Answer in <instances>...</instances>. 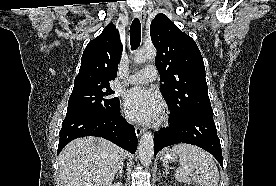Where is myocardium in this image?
<instances>
[{
	"label": "myocardium",
	"instance_id": "f54148a6",
	"mask_svg": "<svg viewBox=\"0 0 276 186\" xmlns=\"http://www.w3.org/2000/svg\"><path fill=\"white\" fill-rule=\"evenodd\" d=\"M168 121V113L166 111H163L157 121L158 125H163L165 123H167Z\"/></svg>",
	"mask_w": 276,
	"mask_h": 186
}]
</instances>
